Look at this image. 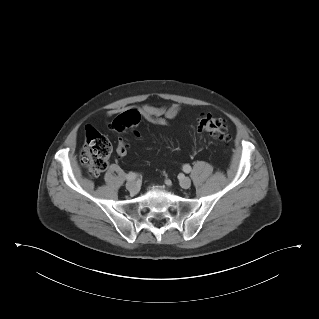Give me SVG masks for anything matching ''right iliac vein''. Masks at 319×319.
Segmentation results:
<instances>
[{"mask_svg": "<svg viewBox=\"0 0 319 319\" xmlns=\"http://www.w3.org/2000/svg\"><path fill=\"white\" fill-rule=\"evenodd\" d=\"M126 188L131 193H137L139 191V185L136 181H129L126 183Z\"/></svg>", "mask_w": 319, "mask_h": 319, "instance_id": "63e3f726", "label": "right iliac vein"}]
</instances>
